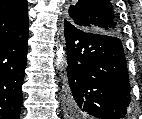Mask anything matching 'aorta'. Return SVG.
Masks as SVG:
<instances>
[{
	"label": "aorta",
	"instance_id": "1",
	"mask_svg": "<svg viewBox=\"0 0 142 119\" xmlns=\"http://www.w3.org/2000/svg\"><path fill=\"white\" fill-rule=\"evenodd\" d=\"M63 55H64V49H63V46H60L56 51V56H57L56 61L58 65L62 64Z\"/></svg>",
	"mask_w": 142,
	"mask_h": 119
}]
</instances>
